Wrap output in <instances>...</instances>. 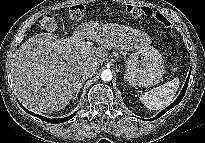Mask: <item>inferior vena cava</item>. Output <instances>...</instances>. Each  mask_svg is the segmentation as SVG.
<instances>
[{
	"mask_svg": "<svg viewBox=\"0 0 205 143\" xmlns=\"http://www.w3.org/2000/svg\"><path fill=\"white\" fill-rule=\"evenodd\" d=\"M99 65L96 62H90L81 69V76L83 78L92 77L98 69Z\"/></svg>",
	"mask_w": 205,
	"mask_h": 143,
	"instance_id": "602c4592",
	"label": "inferior vena cava"
}]
</instances>
